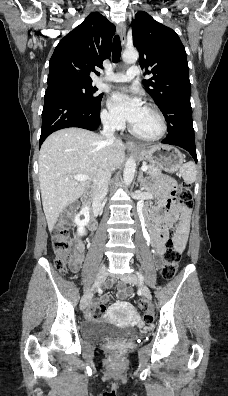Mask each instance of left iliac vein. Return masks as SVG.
I'll use <instances>...</instances> for the list:
<instances>
[{
  "label": "left iliac vein",
  "instance_id": "left-iliac-vein-1",
  "mask_svg": "<svg viewBox=\"0 0 228 396\" xmlns=\"http://www.w3.org/2000/svg\"><path fill=\"white\" fill-rule=\"evenodd\" d=\"M122 280H123L124 282H126V283L138 284V285L140 286V288H141V291H142V293H143V296H144L148 301H151L152 295H151V292H150L149 288H148L144 283L140 282L139 279H138L135 275L130 274V275H127V276H123V277H122Z\"/></svg>",
  "mask_w": 228,
  "mask_h": 396
}]
</instances>
